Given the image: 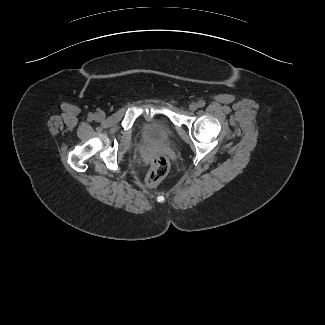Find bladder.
Returning <instances> with one entry per match:
<instances>
[{"label":"bladder","instance_id":"obj_1","mask_svg":"<svg viewBox=\"0 0 325 325\" xmlns=\"http://www.w3.org/2000/svg\"><path fill=\"white\" fill-rule=\"evenodd\" d=\"M142 133L159 142H167L173 136V129L166 121L153 120L142 127Z\"/></svg>","mask_w":325,"mask_h":325}]
</instances>
